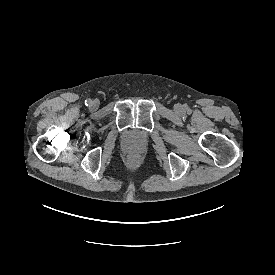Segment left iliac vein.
<instances>
[{
  "mask_svg": "<svg viewBox=\"0 0 275 275\" xmlns=\"http://www.w3.org/2000/svg\"><path fill=\"white\" fill-rule=\"evenodd\" d=\"M174 109L176 112H182V110H183L182 106L179 104L175 105Z\"/></svg>",
  "mask_w": 275,
  "mask_h": 275,
  "instance_id": "4c4485c4",
  "label": "left iliac vein"
}]
</instances>
